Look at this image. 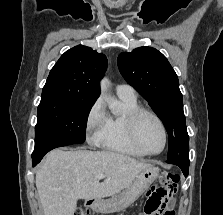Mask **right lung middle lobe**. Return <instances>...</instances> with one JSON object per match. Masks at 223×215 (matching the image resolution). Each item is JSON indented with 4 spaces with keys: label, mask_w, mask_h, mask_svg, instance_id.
<instances>
[{
    "label": "right lung middle lobe",
    "mask_w": 223,
    "mask_h": 215,
    "mask_svg": "<svg viewBox=\"0 0 223 215\" xmlns=\"http://www.w3.org/2000/svg\"><path fill=\"white\" fill-rule=\"evenodd\" d=\"M93 104L41 99L33 153L83 143L86 139L87 118Z\"/></svg>",
    "instance_id": "dd1d6c3e"
}]
</instances>
